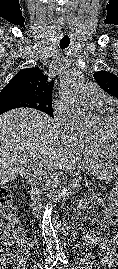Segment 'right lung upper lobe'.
I'll list each match as a JSON object with an SVG mask.
<instances>
[{"label":"right lung upper lobe","instance_id":"right-lung-upper-lobe-1","mask_svg":"<svg viewBox=\"0 0 118 269\" xmlns=\"http://www.w3.org/2000/svg\"><path fill=\"white\" fill-rule=\"evenodd\" d=\"M54 82L38 68H26L20 70L5 86L0 96L9 93L27 96L42 104H52V90Z\"/></svg>","mask_w":118,"mask_h":269}]
</instances>
